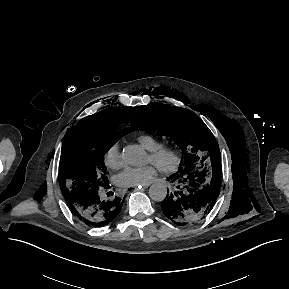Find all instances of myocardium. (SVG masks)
Returning a JSON list of instances; mask_svg holds the SVG:
<instances>
[{"label":"myocardium","instance_id":"myocardium-1","mask_svg":"<svg viewBox=\"0 0 289 289\" xmlns=\"http://www.w3.org/2000/svg\"><path fill=\"white\" fill-rule=\"evenodd\" d=\"M151 162L163 173H173L182 163L180 150L173 146H161L149 151Z\"/></svg>","mask_w":289,"mask_h":289}]
</instances>
